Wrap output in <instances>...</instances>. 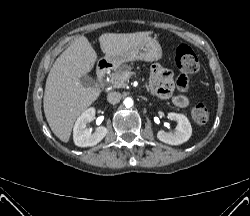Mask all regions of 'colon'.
I'll use <instances>...</instances> for the list:
<instances>
[{
	"instance_id": "colon-1",
	"label": "colon",
	"mask_w": 250,
	"mask_h": 216,
	"mask_svg": "<svg viewBox=\"0 0 250 216\" xmlns=\"http://www.w3.org/2000/svg\"><path fill=\"white\" fill-rule=\"evenodd\" d=\"M175 61L177 67L187 74L196 73L199 70V61L193 49L187 45H180L176 49ZM192 118L195 123L204 125L209 120V112L202 103L196 104L192 109Z\"/></svg>"
}]
</instances>
